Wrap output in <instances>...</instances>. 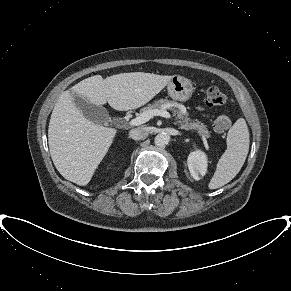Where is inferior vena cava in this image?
Instances as JSON below:
<instances>
[{
    "mask_svg": "<svg viewBox=\"0 0 291 291\" xmlns=\"http://www.w3.org/2000/svg\"><path fill=\"white\" fill-rule=\"evenodd\" d=\"M149 135L147 127H138L129 132V137L134 140L145 139Z\"/></svg>",
    "mask_w": 291,
    "mask_h": 291,
    "instance_id": "obj_1",
    "label": "inferior vena cava"
}]
</instances>
